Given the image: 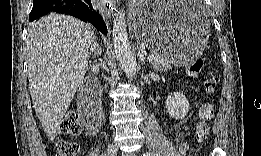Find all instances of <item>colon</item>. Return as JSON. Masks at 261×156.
<instances>
[{"label":"colon","instance_id":"5ec220e1","mask_svg":"<svg viewBox=\"0 0 261 156\" xmlns=\"http://www.w3.org/2000/svg\"><path fill=\"white\" fill-rule=\"evenodd\" d=\"M203 61L198 59L194 61L189 67V74L193 77L198 76V74L203 69ZM203 86L208 94H213L218 86V77L212 73L208 72L204 78ZM214 116V107L211 102H205L201 105L199 109V121L196 127V142L201 144L207 138L210 132V121ZM87 129L90 133H94L96 128L92 122L83 121V124L80 121L79 114L76 111L69 112L62 125H61V134L68 138L76 137L80 134L82 126ZM79 152V147L76 143L69 140H60L57 143V155L60 156H75Z\"/></svg>","mask_w":261,"mask_h":156}]
</instances>
